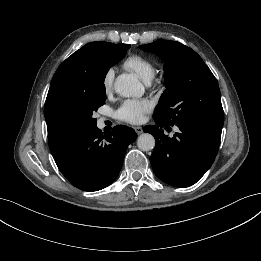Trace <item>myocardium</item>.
Instances as JSON below:
<instances>
[{
	"label": "myocardium",
	"mask_w": 261,
	"mask_h": 261,
	"mask_svg": "<svg viewBox=\"0 0 261 261\" xmlns=\"http://www.w3.org/2000/svg\"><path fill=\"white\" fill-rule=\"evenodd\" d=\"M154 77L148 82V83H152V82H154Z\"/></svg>",
	"instance_id": "f54148a6"
}]
</instances>
